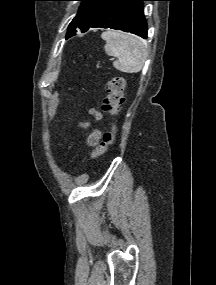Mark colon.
<instances>
[{"instance_id": "obj_1", "label": "colon", "mask_w": 216, "mask_h": 285, "mask_svg": "<svg viewBox=\"0 0 216 285\" xmlns=\"http://www.w3.org/2000/svg\"><path fill=\"white\" fill-rule=\"evenodd\" d=\"M125 81L122 77H113L105 85L106 96L103 100L102 109L111 115H117L124 102ZM116 127L111 125L110 130L105 132L101 142L95 147L92 156L98 157L104 154L110 145L114 143Z\"/></svg>"}]
</instances>
